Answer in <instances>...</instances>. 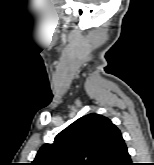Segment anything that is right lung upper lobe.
<instances>
[{
	"label": "right lung upper lobe",
	"mask_w": 154,
	"mask_h": 165,
	"mask_svg": "<svg viewBox=\"0 0 154 165\" xmlns=\"http://www.w3.org/2000/svg\"><path fill=\"white\" fill-rule=\"evenodd\" d=\"M120 130L99 114L85 115L63 131L52 144L43 145L32 165H101Z\"/></svg>",
	"instance_id": "right-lung-upper-lobe-1"
}]
</instances>
